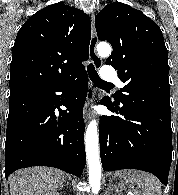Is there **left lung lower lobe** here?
<instances>
[{
    "instance_id": "obj_1",
    "label": "left lung lower lobe",
    "mask_w": 178,
    "mask_h": 195,
    "mask_svg": "<svg viewBox=\"0 0 178 195\" xmlns=\"http://www.w3.org/2000/svg\"><path fill=\"white\" fill-rule=\"evenodd\" d=\"M120 116H102L100 156L104 171L139 169L168 183L172 161L171 109L150 103L102 100Z\"/></svg>"
}]
</instances>
